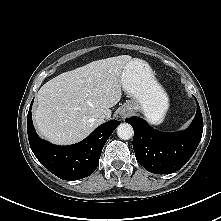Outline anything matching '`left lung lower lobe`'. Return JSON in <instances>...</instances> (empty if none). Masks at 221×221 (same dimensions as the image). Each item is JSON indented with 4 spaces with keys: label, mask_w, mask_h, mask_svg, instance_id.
<instances>
[{
    "label": "left lung lower lobe",
    "mask_w": 221,
    "mask_h": 221,
    "mask_svg": "<svg viewBox=\"0 0 221 221\" xmlns=\"http://www.w3.org/2000/svg\"><path fill=\"white\" fill-rule=\"evenodd\" d=\"M125 121L134 129L133 148L137 161L155 174H169L181 169L195 152L203 132L199 105L192 124L185 131L163 133L139 117Z\"/></svg>",
    "instance_id": "1"
}]
</instances>
